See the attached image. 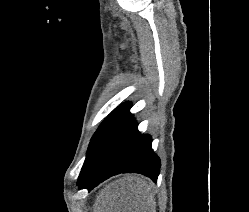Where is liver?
<instances>
[{
  "label": "liver",
  "instance_id": "obj_1",
  "mask_svg": "<svg viewBox=\"0 0 249 212\" xmlns=\"http://www.w3.org/2000/svg\"><path fill=\"white\" fill-rule=\"evenodd\" d=\"M151 188L144 176L127 174L100 192L95 212H156Z\"/></svg>",
  "mask_w": 249,
  "mask_h": 212
}]
</instances>
